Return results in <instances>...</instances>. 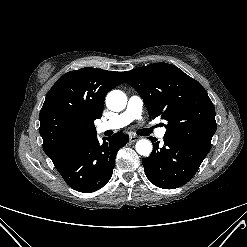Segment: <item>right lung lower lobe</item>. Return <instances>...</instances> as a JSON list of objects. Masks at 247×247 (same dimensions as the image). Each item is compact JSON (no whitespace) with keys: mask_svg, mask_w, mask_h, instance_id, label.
Segmentation results:
<instances>
[{"mask_svg":"<svg viewBox=\"0 0 247 247\" xmlns=\"http://www.w3.org/2000/svg\"><path fill=\"white\" fill-rule=\"evenodd\" d=\"M128 141L123 133L104 138L102 144L94 136L76 144L54 165L71 188L93 192L110 180L117 151Z\"/></svg>","mask_w":247,"mask_h":247,"instance_id":"obj_1","label":"right lung lower lobe"}]
</instances>
